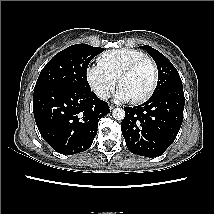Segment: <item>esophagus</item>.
<instances>
[{
	"instance_id": "1",
	"label": "esophagus",
	"mask_w": 214,
	"mask_h": 214,
	"mask_svg": "<svg viewBox=\"0 0 214 214\" xmlns=\"http://www.w3.org/2000/svg\"><path fill=\"white\" fill-rule=\"evenodd\" d=\"M114 105L113 104H109V108H110V110H112V109H114Z\"/></svg>"
}]
</instances>
